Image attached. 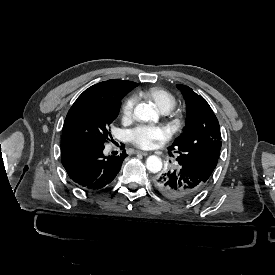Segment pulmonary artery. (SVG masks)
Masks as SVG:
<instances>
[{"label": "pulmonary artery", "mask_w": 275, "mask_h": 275, "mask_svg": "<svg viewBox=\"0 0 275 275\" xmlns=\"http://www.w3.org/2000/svg\"><path fill=\"white\" fill-rule=\"evenodd\" d=\"M162 117H165V114H162ZM157 118H161V114H158ZM111 149H113V145H111Z\"/></svg>", "instance_id": "obj_1"}]
</instances>
